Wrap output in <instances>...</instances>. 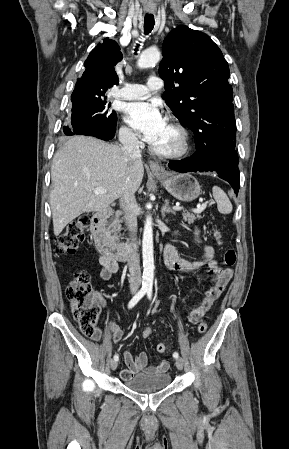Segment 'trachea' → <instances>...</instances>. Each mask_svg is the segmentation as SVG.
Returning a JSON list of instances; mask_svg holds the SVG:
<instances>
[{
  "mask_svg": "<svg viewBox=\"0 0 289 449\" xmlns=\"http://www.w3.org/2000/svg\"><path fill=\"white\" fill-rule=\"evenodd\" d=\"M154 24H155L154 16L152 14H146L144 18L145 35H148L152 31ZM135 51H138V49L136 48Z\"/></svg>",
  "mask_w": 289,
  "mask_h": 449,
  "instance_id": "obj_1",
  "label": "trachea"
}]
</instances>
